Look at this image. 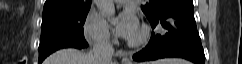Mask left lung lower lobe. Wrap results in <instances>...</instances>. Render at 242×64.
<instances>
[{"mask_svg":"<svg viewBox=\"0 0 242 64\" xmlns=\"http://www.w3.org/2000/svg\"><path fill=\"white\" fill-rule=\"evenodd\" d=\"M150 24L153 29L161 25L167 31L164 35L152 32L147 46L133 55L135 61L180 57L195 64H205L204 50L194 18L193 0H183L166 7Z\"/></svg>","mask_w":242,"mask_h":64,"instance_id":"obj_1","label":"left lung lower lobe"}]
</instances>
